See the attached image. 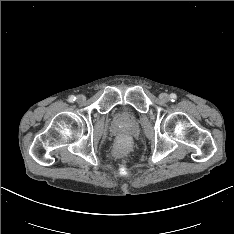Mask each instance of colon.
Here are the masks:
<instances>
[{"label": "colon", "instance_id": "5ec220e1", "mask_svg": "<svg viewBox=\"0 0 234 234\" xmlns=\"http://www.w3.org/2000/svg\"><path fill=\"white\" fill-rule=\"evenodd\" d=\"M127 144H128V140L126 138H122L120 141H119V147L121 149H125L127 147Z\"/></svg>", "mask_w": 234, "mask_h": 234}]
</instances>
